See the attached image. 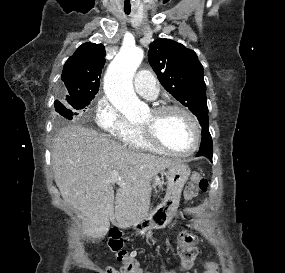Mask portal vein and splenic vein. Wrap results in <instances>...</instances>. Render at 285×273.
<instances>
[{"label": "portal vein and splenic vein", "instance_id": "obj_1", "mask_svg": "<svg viewBox=\"0 0 285 273\" xmlns=\"http://www.w3.org/2000/svg\"><path fill=\"white\" fill-rule=\"evenodd\" d=\"M109 180L112 183L120 181L119 172L117 170H113Z\"/></svg>", "mask_w": 285, "mask_h": 273}]
</instances>
